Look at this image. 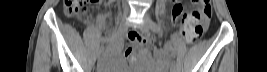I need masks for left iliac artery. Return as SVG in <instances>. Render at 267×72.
<instances>
[{
	"label": "left iliac artery",
	"mask_w": 267,
	"mask_h": 72,
	"mask_svg": "<svg viewBox=\"0 0 267 72\" xmlns=\"http://www.w3.org/2000/svg\"><path fill=\"white\" fill-rule=\"evenodd\" d=\"M151 29L154 31V32H157V33H160L161 31V28L160 26L155 23V22H152L151 24ZM170 67L174 68L175 67V62L173 60H170Z\"/></svg>",
	"instance_id": "left-iliac-artery-1"
}]
</instances>
